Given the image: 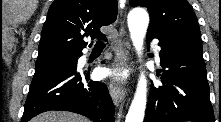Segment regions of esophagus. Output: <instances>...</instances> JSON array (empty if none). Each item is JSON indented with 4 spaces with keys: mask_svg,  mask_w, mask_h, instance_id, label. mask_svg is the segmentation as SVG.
Returning a JSON list of instances; mask_svg holds the SVG:
<instances>
[{
    "mask_svg": "<svg viewBox=\"0 0 221 122\" xmlns=\"http://www.w3.org/2000/svg\"><path fill=\"white\" fill-rule=\"evenodd\" d=\"M122 16V10L120 11ZM130 44L125 38V29L123 23L121 21V27L119 30V38H118V45L115 49V60L113 63L114 68H124L130 61ZM109 91L110 95L113 99V102L116 106L124 99L126 95V88L122 81L118 79L112 78L109 81Z\"/></svg>",
    "mask_w": 221,
    "mask_h": 122,
    "instance_id": "obj_1",
    "label": "esophagus"
}]
</instances>
